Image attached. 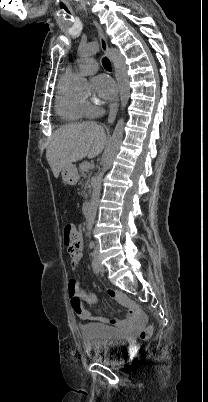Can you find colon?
<instances>
[{
  "label": "colon",
  "instance_id": "obj_1",
  "mask_svg": "<svg viewBox=\"0 0 208 402\" xmlns=\"http://www.w3.org/2000/svg\"><path fill=\"white\" fill-rule=\"evenodd\" d=\"M77 236H78V228L75 223L68 221L63 224L62 240H63L64 244H66V245L74 244ZM71 304H72L73 310L77 314L84 313L85 304H84V301L79 296L72 297ZM149 330H150V327L146 326L145 330H143L140 334L141 338H143V339L147 338Z\"/></svg>",
  "mask_w": 208,
  "mask_h": 402
}]
</instances>
